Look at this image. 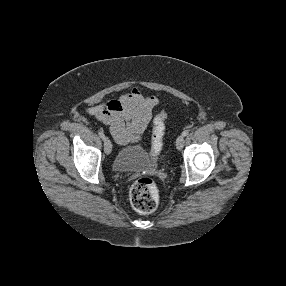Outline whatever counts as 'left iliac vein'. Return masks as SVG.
Listing matches in <instances>:
<instances>
[{
	"label": "left iliac vein",
	"mask_w": 286,
	"mask_h": 286,
	"mask_svg": "<svg viewBox=\"0 0 286 286\" xmlns=\"http://www.w3.org/2000/svg\"><path fill=\"white\" fill-rule=\"evenodd\" d=\"M184 141H185V138L183 135H180L177 140H176V148L178 150H182L183 147H184Z\"/></svg>",
	"instance_id": "obj_1"
}]
</instances>
